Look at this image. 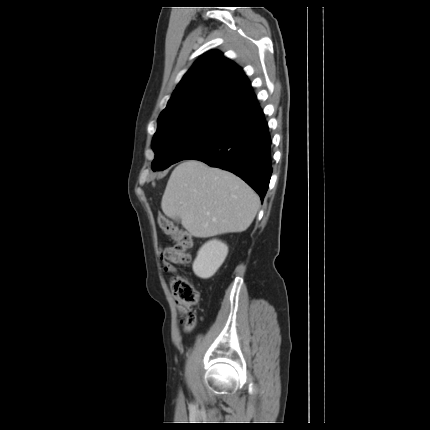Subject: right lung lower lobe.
<instances>
[{"label":"right lung lower lobe","instance_id":"98d812e1","mask_svg":"<svg viewBox=\"0 0 430 430\" xmlns=\"http://www.w3.org/2000/svg\"><path fill=\"white\" fill-rule=\"evenodd\" d=\"M186 159L200 160L212 167L236 174L250 185L263 201L272 174L271 137L258 103L239 115L229 128Z\"/></svg>","mask_w":430,"mask_h":430}]
</instances>
